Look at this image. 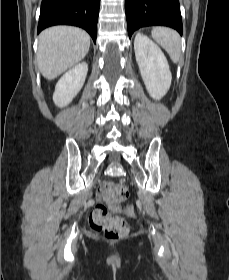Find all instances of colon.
I'll return each instance as SVG.
<instances>
[{"instance_id": "colon-1", "label": "colon", "mask_w": 229, "mask_h": 280, "mask_svg": "<svg viewBox=\"0 0 229 280\" xmlns=\"http://www.w3.org/2000/svg\"><path fill=\"white\" fill-rule=\"evenodd\" d=\"M101 194L107 202L119 206L128 197L129 192L123 184L104 181ZM90 223L93 229L103 231L107 237H120L128 231L124 219L119 215L111 214L104 205H97L91 210Z\"/></svg>"}]
</instances>
